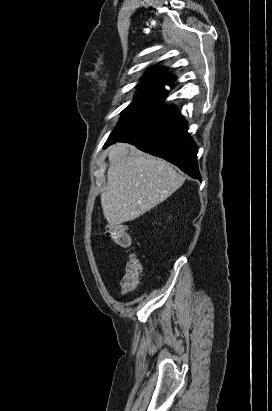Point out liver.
<instances>
[{
  "instance_id": "liver-1",
  "label": "liver",
  "mask_w": 272,
  "mask_h": 411,
  "mask_svg": "<svg viewBox=\"0 0 272 411\" xmlns=\"http://www.w3.org/2000/svg\"><path fill=\"white\" fill-rule=\"evenodd\" d=\"M108 157L110 166L101 206L111 226L143 215L166 200L185 180L168 162L130 144L113 145Z\"/></svg>"
}]
</instances>
